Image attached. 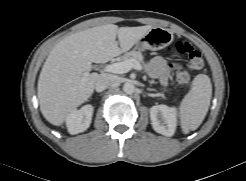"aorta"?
I'll return each mask as SVG.
<instances>
[{"mask_svg":"<svg viewBox=\"0 0 246 181\" xmlns=\"http://www.w3.org/2000/svg\"><path fill=\"white\" fill-rule=\"evenodd\" d=\"M135 86L133 83L131 82H126L124 83L123 85V91L126 93V94H133L135 92Z\"/></svg>","mask_w":246,"mask_h":181,"instance_id":"1","label":"aorta"}]
</instances>
